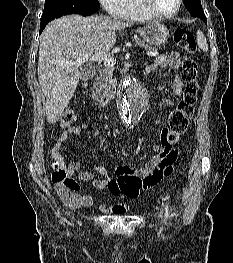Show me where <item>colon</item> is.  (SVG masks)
Returning <instances> with one entry per match:
<instances>
[{
	"mask_svg": "<svg viewBox=\"0 0 233 263\" xmlns=\"http://www.w3.org/2000/svg\"><path fill=\"white\" fill-rule=\"evenodd\" d=\"M174 41L185 53L181 73L182 79L185 82V90L182 100L169 114L167 127L164 128L163 143L161 142V145L158 147L159 154L165 153L166 157L151 174L144 178V182L149 185L157 184L173 172L176 160L173 145L177 144L185 133L189 121L195 113L198 98V66L192 58V55L196 52L194 36L188 30L178 29L174 34ZM76 120L77 116L75 112L69 109L61 116L60 126L61 128L68 129L72 127ZM53 167L52 180L54 183H62L65 189H77L80 187L74 179L68 177L66 172L57 163H54Z\"/></svg>",
	"mask_w": 233,
	"mask_h": 263,
	"instance_id": "colon-1",
	"label": "colon"
}]
</instances>
